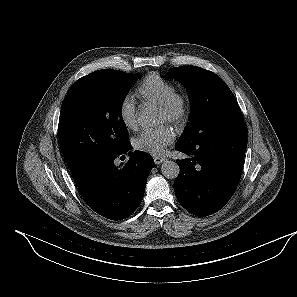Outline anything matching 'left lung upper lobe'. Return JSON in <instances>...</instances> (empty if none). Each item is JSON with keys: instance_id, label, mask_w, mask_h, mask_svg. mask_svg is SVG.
Wrapping results in <instances>:
<instances>
[{"instance_id": "obj_1", "label": "left lung upper lobe", "mask_w": 297, "mask_h": 297, "mask_svg": "<svg viewBox=\"0 0 297 297\" xmlns=\"http://www.w3.org/2000/svg\"><path fill=\"white\" fill-rule=\"evenodd\" d=\"M165 78L181 82L189 92V122L179 143L193 145L212 133L244 123L235 96L215 73L197 66H181L172 68Z\"/></svg>"}]
</instances>
